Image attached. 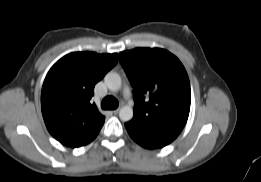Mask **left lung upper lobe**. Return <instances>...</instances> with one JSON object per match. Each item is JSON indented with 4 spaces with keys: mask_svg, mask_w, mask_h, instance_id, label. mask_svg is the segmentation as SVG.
I'll list each match as a JSON object with an SVG mask.
<instances>
[{
    "mask_svg": "<svg viewBox=\"0 0 261 182\" xmlns=\"http://www.w3.org/2000/svg\"><path fill=\"white\" fill-rule=\"evenodd\" d=\"M134 94L130 127L141 134L173 141L184 128L191 91L179 59L161 48H136L119 54Z\"/></svg>",
    "mask_w": 261,
    "mask_h": 182,
    "instance_id": "obj_1",
    "label": "left lung upper lobe"
}]
</instances>
